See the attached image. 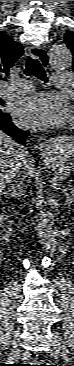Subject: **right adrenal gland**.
I'll list each match as a JSON object with an SVG mask.
<instances>
[{
    "instance_id": "1",
    "label": "right adrenal gland",
    "mask_w": 74,
    "mask_h": 366,
    "mask_svg": "<svg viewBox=\"0 0 74 366\" xmlns=\"http://www.w3.org/2000/svg\"><path fill=\"white\" fill-rule=\"evenodd\" d=\"M21 191V188H20V184L18 183L16 186L15 184H12V186L10 188H8L7 191H5L4 193L7 194V195H10L11 197H17Z\"/></svg>"
}]
</instances>
